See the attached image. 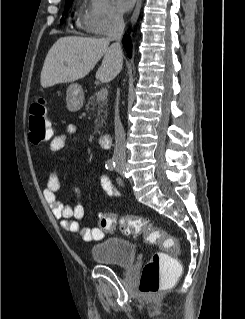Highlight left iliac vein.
Returning a JSON list of instances; mask_svg holds the SVG:
<instances>
[{
  "instance_id": "obj_1",
  "label": "left iliac vein",
  "mask_w": 245,
  "mask_h": 319,
  "mask_svg": "<svg viewBox=\"0 0 245 319\" xmlns=\"http://www.w3.org/2000/svg\"><path fill=\"white\" fill-rule=\"evenodd\" d=\"M117 171H118L119 174H122V171H119L118 169H117ZM117 180H118L119 184H122V179L121 178H118Z\"/></svg>"
}]
</instances>
